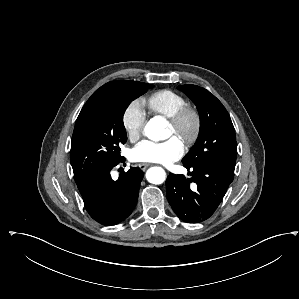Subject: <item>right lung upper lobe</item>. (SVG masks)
Listing matches in <instances>:
<instances>
[{
    "label": "right lung upper lobe",
    "instance_id": "right-lung-upper-lobe-1",
    "mask_svg": "<svg viewBox=\"0 0 299 299\" xmlns=\"http://www.w3.org/2000/svg\"><path fill=\"white\" fill-rule=\"evenodd\" d=\"M140 83L141 82L129 81V80H118V81L108 82L105 85H103L102 87H100L98 90H96L92 94V96L88 99V101L86 102V104L84 106L89 105L94 100H96L97 98H99L100 96L104 95L105 93H107L109 91H112L114 89L121 88V87L136 86V85H139Z\"/></svg>",
    "mask_w": 299,
    "mask_h": 299
}]
</instances>
